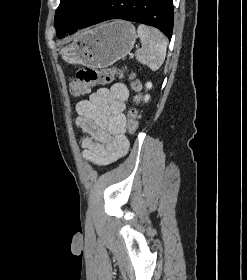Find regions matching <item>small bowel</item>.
Listing matches in <instances>:
<instances>
[{
  "instance_id": "obj_1",
  "label": "small bowel",
  "mask_w": 247,
  "mask_h": 280,
  "mask_svg": "<svg viewBox=\"0 0 247 280\" xmlns=\"http://www.w3.org/2000/svg\"><path fill=\"white\" fill-rule=\"evenodd\" d=\"M129 91L123 83L100 88L77 103V124L87 134L83 156L96 165H106L124 156L129 147L125 135V102Z\"/></svg>"
}]
</instances>
